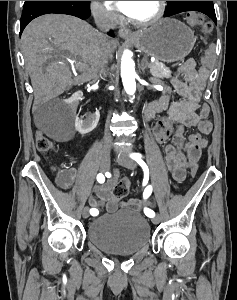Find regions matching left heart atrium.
I'll list each match as a JSON object with an SVG mask.
<instances>
[{"label":"left heart atrium","instance_id":"obj_1","mask_svg":"<svg viewBox=\"0 0 237 300\" xmlns=\"http://www.w3.org/2000/svg\"><path fill=\"white\" fill-rule=\"evenodd\" d=\"M138 4V1H106V5L127 16H130Z\"/></svg>","mask_w":237,"mask_h":300}]
</instances>
